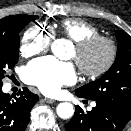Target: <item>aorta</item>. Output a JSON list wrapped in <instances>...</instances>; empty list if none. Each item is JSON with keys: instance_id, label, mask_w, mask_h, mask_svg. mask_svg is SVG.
Listing matches in <instances>:
<instances>
[{"instance_id": "762f6f07", "label": "aorta", "mask_w": 131, "mask_h": 131, "mask_svg": "<svg viewBox=\"0 0 131 131\" xmlns=\"http://www.w3.org/2000/svg\"><path fill=\"white\" fill-rule=\"evenodd\" d=\"M66 43L67 41L64 39H57L53 41L51 45L52 53L62 58L66 51ZM57 115L62 119H69L74 114V107L71 103L63 102L60 103L56 108Z\"/></svg>"}]
</instances>
